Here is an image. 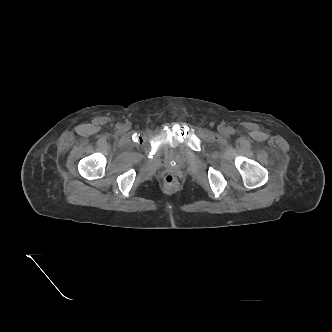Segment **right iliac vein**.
Returning <instances> with one entry per match:
<instances>
[{
  "mask_svg": "<svg viewBox=\"0 0 332 332\" xmlns=\"http://www.w3.org/2000/svg\"><path fill=\"white\" fill-rule=\"evenodd\" d=\"M124 128H125V129H128V126H127V125H125V126H124Z\"/></svg>",
  "mask_w": 332,
  "mask_h": 332,
  "instance_id": "1",
  "label": "right iliac vein"
}]
</instances>
